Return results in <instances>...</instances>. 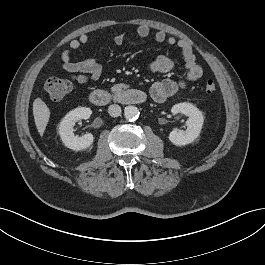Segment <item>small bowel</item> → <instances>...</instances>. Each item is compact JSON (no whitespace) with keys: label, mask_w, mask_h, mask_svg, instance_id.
Listing matches in <instances>:
<instances>
[{"label":"small bowel","mask_w":265,"mask_h":265,"mask_svg":"<svg viewBox=\"0 0 265 265\" xmlns=\"http://www.w3.org/2000/svg\"><path fill=\"white\" fill-rule=\"evenodd\" d=\"M151 30L147 25H141L137 28L136 35L139 38H146L150 35ZM125 34L120 33L112 37L116 45L125 41ZM154 38L157 42H165L170 46H177L182 54L184 66L186 69L185 76L178 80H162L156 82L151 90L150 95L155 102L163 103L168 98L184 90L189 83L197 81L203 75L202 67L197 63L195 54L191 45L186 40H178L173 36L167 35L163 30H158ZM89 36L83 34L78 38L70 41L68 48L61 54L62 68L67 72L70 78L81 85L97 81L102 74V66L95 56L84 58L80 61H73V54L82 46L88 44ZM175 67L174 61L167 56H159L148 63L150 71L155 73H167Z\"/></svg>","instance_id":"1"}]
</instances>
